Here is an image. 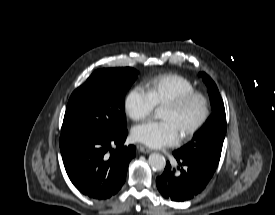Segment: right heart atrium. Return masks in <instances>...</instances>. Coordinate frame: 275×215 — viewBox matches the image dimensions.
<instances>
[{
  "mask_svg": "<svg viewBox=\"0 0 275 215\" xmlns=\"http://www.w3.org/2000/svg\"><path fill=\"white\" fill-rule=\"evenodd\" d=\"M124 107L132 120L140 121L150 116L156 105L143 87L136 86L127 93Z\"/></svg>",
  "mask_w": 275,
  "mask_h": 215,
  "instance_id": "obj_1",
  "label": "right heart atrium"
}]
</instances>
